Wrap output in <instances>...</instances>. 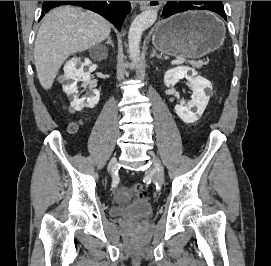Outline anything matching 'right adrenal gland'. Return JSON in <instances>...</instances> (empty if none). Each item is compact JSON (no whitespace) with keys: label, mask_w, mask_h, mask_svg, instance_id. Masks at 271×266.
<instances>
[{"label":"right adrenal gland","mask_w":271,"mask_h":266,"mask_svg":"<svg viewBox=\"0 0 271 266\" xmlns=\"http://www.w3.org/2000/svg\"><path fill=\"white\" fill-rule=\"evenodd\" d=\"M105 44H106V45H107V44H110L112 47H114V44H113V42H112V40H111V37L108 38V40L105 42Z\"/></svg>","instance_id":"2a0ac1e0"}]
</instances>
